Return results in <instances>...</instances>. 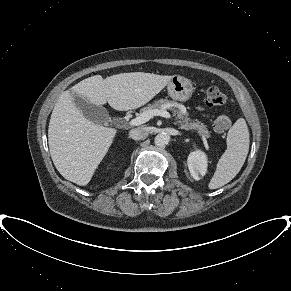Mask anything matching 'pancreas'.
Returning <instances> with one entry per match:
<instances>
[{
	"mask_svg": "<svg viewBox=\"0 0 291 291\" xmlns=\"http://www.w3.org/2000/svg\"><path fill=\"white\" fill-rule=\"evenodd\" d=\"M168 107H173V115L176 116L177 123L180 124V128L184 130H196L197 133L202 137H209V131L206 125L197 120H191L188 117V113L181 109V106L176 102L168 101L167 99H160L157 102L149 104L148 106L141 109V113L146 111H152L155 109L164 110ZM179 108V109H177Z\"/></svg>",
	"mask_w": 291,
	"mask_h": 291,
	"instance_id": "cf45deb5",
	"label": "pancreas"
}]
</instances>
